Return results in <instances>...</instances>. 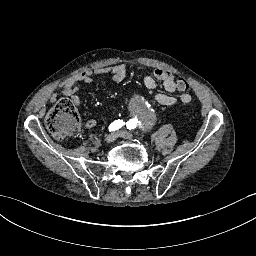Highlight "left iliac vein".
I'll return each instance as SVG.
<instances>
[{
  "mask_svg": "<svg viewBox=\"0 0 256 256\" xmlns=\"http://www.w3.org/2000/svg\"><path fill=\"white\" fill-rule=\"evenodd\" d=\"M118 135H119V137H122V138H130L131 137V134L127 131H119Z\"/></svg>",
  "mask_w": 256,
  "mask_h": 256,
  "instance_id": "4c4485c4",
  "label": "left iliac vein"
}]
</instances>
